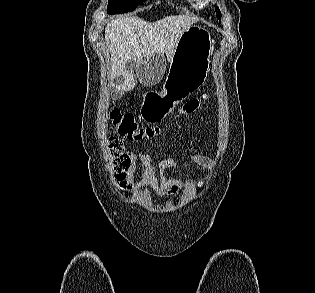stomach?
I'll list each match as a JSON object with an SVG mask.
<instances>
[{
    "instance_id": "obj_1",
    "label": "stomach",
    "mask_w": 315,
    "mask_h": 293,
    "mask_svg": "<svg viewBox=\"0 0 315 293\" xmlns=\"http://www.w3.org/2000/svg\"><path fill=\"white\" fill-rule=\"evenodd\" d=\"M214 40L209 31L192 25L180 36L169 73L161 92H149L142 103L141 116L156 123L170 114L176 105L197 91L210 69Z\"/></svg>"
}]
</instances>
